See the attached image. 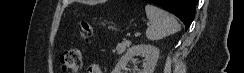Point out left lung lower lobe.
I'll return each instance as SVG.
<instances>
[{
    "instance_id": "1",
    "label": "left lung lower lobe",
    "mask_w": 244,
    "mask_h": 73,
    "mask_svg": "<svg viewBox=\"0 0 244 73\" xmlns=\"http://www.w3.org/2000/svg\"><path fill=\"white\" fill-rule=\"evenodd\" d=\"M176 15L186 26L191 25L197 0H146Z\"/></svg>"
}]
</instances>
